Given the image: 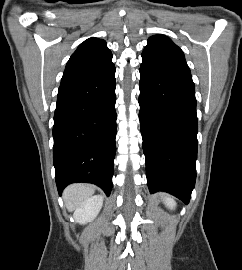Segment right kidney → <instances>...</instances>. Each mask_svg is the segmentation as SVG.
Here are the masks:
<instances>
[{
    "mask_svg": "<svg viewBox=\"0 0 242 270\" xmlns=\"http://www.w3.org/2000/svg\"><path fill=\"white\" fill-rule=\"evenodd\" d=\"M103 205L102 196H92L84 201L74 212L77 223L85 224L92 221L101 210Z\"/></svg>",
    "mask_w": 242,
    "mask_h": 270,
    "instance_id": "obj_1",
    "label": "right kidney"
}]
</instances>
